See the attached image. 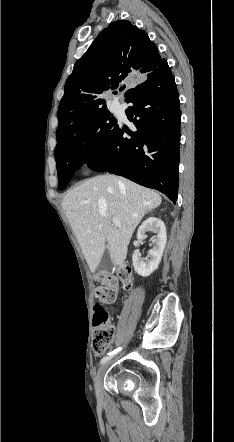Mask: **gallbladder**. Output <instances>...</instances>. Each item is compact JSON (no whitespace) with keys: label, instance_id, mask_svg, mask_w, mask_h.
I'll return each mask as SVG.
<instances>
[{"label":"gallbladder","instance_id":"gallbladder-1","mask_svg":"<svg viewBox=\"0 0 234 442\" xmlns=\"http://www.w3.org/2000/svg\"><path fill=\"white\" fill-rule=\"evenodd\" d=\"M111 268H112L111 257L108 250H106L103 254L99 266L97 267L96 272L97 274H103V273L108 274L111 271Z\"/></svg>","mask_w":234,"mask_h":442}]
</instances>
